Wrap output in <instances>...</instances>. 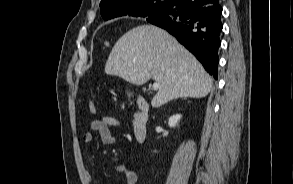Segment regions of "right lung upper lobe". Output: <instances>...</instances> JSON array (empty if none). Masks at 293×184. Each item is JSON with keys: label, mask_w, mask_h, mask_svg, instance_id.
Wrapping results in <instances>:
<instances>
[{"label": "right lung upper lobe", "mask_w": 293, "mask_h": 184, "mask_svg": "<svg viewBox=\"0 0 293 184\" xmlns=\"http://www.w3.org/2000/svg\"><path fill=\"white\" fill-rule=\"evenodd\" d=\"M204 1H206L204 5H208L213 0ZM170 2L171 0H102L100 3V13L105 20L120 16L136 17L148 9L164 12Z\"/></svg>", "instance_id": "1"}]
</instances>
